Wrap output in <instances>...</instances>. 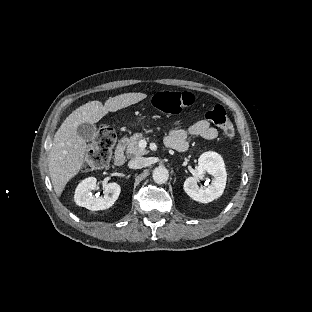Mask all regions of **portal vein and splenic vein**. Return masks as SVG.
<instances>
[{"mask_svg": "<svg viewBox=\"0 0 312 312\" xmlns=\"http://www.w3.org/2000/svg\"><path fill=\"white\" fill-rule=\"evenodd\" d=\"M146 146H147V144H146V141H144V140H141V141L139 142V144H138V147H139V149H140L141 151H144V150L146 149Z\"/></svg>", "mask_w": 312, "mask_h": 312, "instance_id": "portal-vein-and-splenic-vein-1", "label": "portal vein and splenic vein"}]
</instances>
